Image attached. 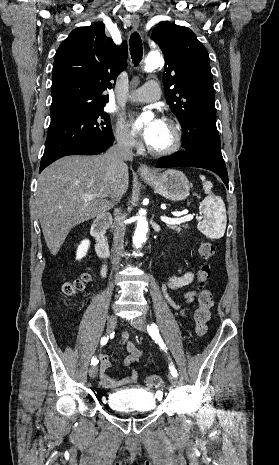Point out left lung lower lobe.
I'll return each mask as SVG.
<instances>
[{
    "mask_svg": "<svg viewBox=\"0 0 279 465\" xmlns=\"http://www.w3.org/2000/svg\"><path fill=\"white\" fill-rule=\"evenodd\" d=\"M178 166L199 167L215 172L228 188V174L225 163H221L214 158L195 151H179L167 157H162L156 167L169 168Z\"/></svg>",
    "mask_w": 279,
    "mask_h": 465,
    "instance_id": "0a47b994",
    "label": "left lung lower lobe"
}]
</instances>
